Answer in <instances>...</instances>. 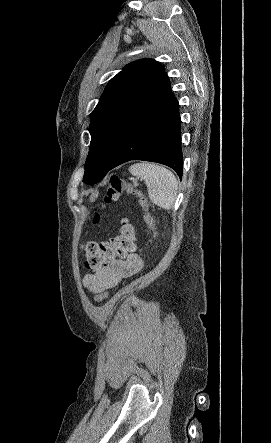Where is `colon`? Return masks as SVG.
Instances as JSON below:
<instances>
[{
  "label": "colon",
  "instance_id": "obj_1",
  "mask_svg": "<svg viewBox=\"0 0 271 443\" xmlns=\"http://www.w3.org/2000/svg\"><path fill=\"white\" fill-rule=\"evenodd\" d=\"M133 195L138 198L139 204L144 211V219L150 230H153L154 224L147 211V201L143 194L135 189L129 182L113 175L110 178L107 193L104 197V203L108 204L118 200L123 195ZM94 223L100 221L99 214H95ZM136 233L133 225L127 220H123L118 235L105 242L89 241L83 245L84 259L83 267L89 271H98L103 264L108 261L127 255L135 249ZM107 291L98 293L94 300L97 303L104 301L108 297Z\"/></svg>",
  "mask_w": 271,
  "mask_h": 443
}]
</instances>
